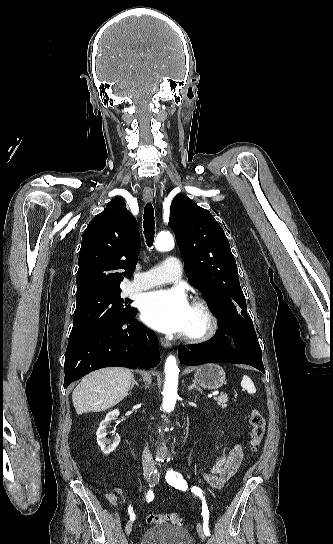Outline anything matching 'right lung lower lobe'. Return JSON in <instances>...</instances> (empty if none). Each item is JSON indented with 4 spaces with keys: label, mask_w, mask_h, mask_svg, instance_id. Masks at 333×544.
<instances>
[{
    "label": "right lung lower lobe",
    "mask_w": 333,
    "mask_h": 544,
    "mask_svg": "<svg viewBox=\"0 0 333 544\" xmlns=\"http://www.w3.org/2000/svg\"><path fill=\"white\" fill-rule=\"evenodd\" d=\"M137 310L119 322L68 341L64 388L91 371L121 366L149 369L160 362L156 336L135 318Z\"/></svg>",
    "instance_id": "1"
}]
</instances>
